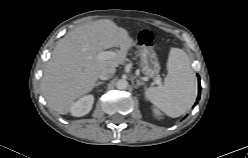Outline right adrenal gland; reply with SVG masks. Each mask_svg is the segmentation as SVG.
<instances>
[{"label": "right adrenal gland", "instance_id": "1", "mask_svg": "<svg viewBox=\"0 0 248 158\" xmlns=\"http://www.w3.org/2000/svg\"><path fill=\"white\" fill-rule=\"evenodd\" d=\"M103 83H104L103 81H97L96 84H95V87H98L99 85H101Z\"/></svg>", "mask_w": 248, "mask_h": 158}]
</instances>
